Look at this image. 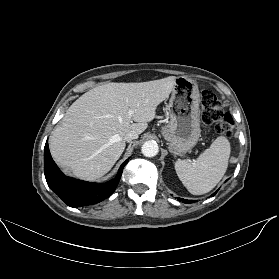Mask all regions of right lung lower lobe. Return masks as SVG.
Returning <instances> with one entry per match:
<instances>
[{
    "label": "right lung lower lobe",
    "mask_w": 279,
    "mask_h": 279,
    "mask_svg": "<svg viewBox=\"0 0 279 279\" xmlns=\"http://www.w3.org/2000/svg\"><path fill=\"white\" fill-rule=\"evenodd\" d=\"M127 162L128 160L121 165L113 180L96 184L65 176L53 161L47 142L44 149V172L47 184L71 207L91 205L108 198L115 191Z\"/></svg>",
    "instance_id": "98d812e1"
}]
</instances>
